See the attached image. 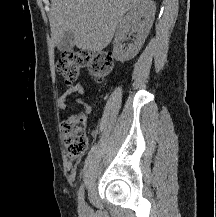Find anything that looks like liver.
<instances>
[{"label":"liver","mask_w":216,"mask_h":217,"mask_svg":"<svg viewBox=\"0 0 216 217\" xmlns=\"http://www.w3.org/2000/svg\"><path fill=\"white\" fill-rule=\"evenodd\" d=\"M142 0H51L50 27L54 45L67 32L74 33L81 50L106 48L124 14Z\"/></svg>","instance_id":"6515ba94"}]
</instances>
